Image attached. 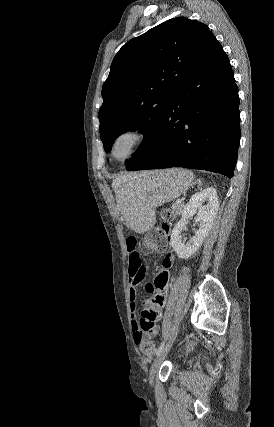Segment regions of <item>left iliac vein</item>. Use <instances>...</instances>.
<instances>
[{"label": "left iliac vein", "mask_w": 274, "mask_h": 427, "mask_svg": "<svg viewBox=\"0 0 274 427\" xmlns=\"http://www.w3.org/2000/svg\"><path fill=\"white\" fill-rule=\"evenodd\" d=\"M178 332H179V328L176 329V331L173 334V336L170 338V340L168 341V343L165 345V347L163 348V350L161 351V353L159 354V356H157V358L155 359L153 365L151 366V368L149 370V374H148V380H149V382L151 384L153 383L155 375L158 372V370L160 369V366L164 362L167 354L169 353V350H170L172 344L174 343V340L177 337Z\"/></svg>", "instance_id": "obj_1"}]
</instances>
